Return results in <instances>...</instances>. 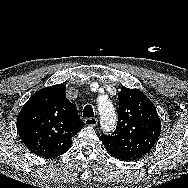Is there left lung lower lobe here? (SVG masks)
I'll return each instance as SVG.
<instances>
[{"instance_id":"0a47b994","label":"left lung lower lobe","mask_w":188,"mask_h":188,"mask_svg":"<svg viewBox=\"0 0 188 188\" xmlns=\"http://www.w3.org/2000/svg\"><path fill=\"white\" fill-rule=\"evenodd\" d=\"M102 143L104 144L105 148L107 149V151L115 158L120 159V160H124V161H129V160H134L136 159L135 157H133L132 155H130L129 153L119 149L118 147H116L115 145L111 144L109 141L101 139Z\"/></svg>"}]
</instances>
